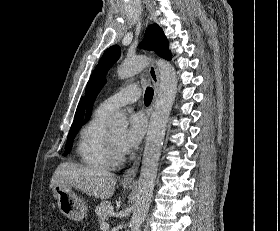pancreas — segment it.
<instances>
[{
	"label": "pancreas",
	"instance_id": "pancreas-1",
	"mask_svg": "<svg viewBox=\"0 0 280 231\" xmlns=\"http://www.w3.org/2000/svg\"><path fill=\"white\" fill-rule=\"evenodd\" d=\"M95 213L98 215V223H103L107 217H110L113 213V205L110 201H102L100 205L95 207Z\"/></svg>",
	"mask_w": 280,
	"mask_h": 231
}]
</instances>
